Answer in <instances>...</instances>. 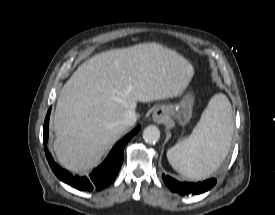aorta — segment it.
Here are the masks:
<instances>
[{"label":"aorta","mask_w":275,"mask_h":215,"mask_svg":"<svg viewBox=\"0 0 275 215\" xmlns=\"http://www.w3.org/2000/svg\"><path fill=\"white\" fill-rule=\"evenodd\" d=\"M143 139L148 144H155L160 139V131L154 125H149L143 130Z\"/></svg>","instance_id":"aorta-1"}]
</instances>
